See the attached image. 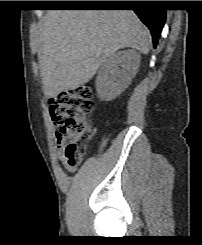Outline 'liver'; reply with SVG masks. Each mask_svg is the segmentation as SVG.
Wrapping results in <instances>:
<instances>
[{
  "mask_svg": "<svg viewBox=\"0 0 202 245\" xmlns=\"http://www.w3.org/2000/svg\"><path fill=\"white\" fill-rule=\"evenodd\" d=\"M41 41V76L49 98L89 82L119 49L150 50V34L132 10H49Z\"/></svg>",
  "mask_w": 202,
  "mask_h": 245,
  "instance_id": "6515ba94",
  "label": "liver"
}]
</instances>
